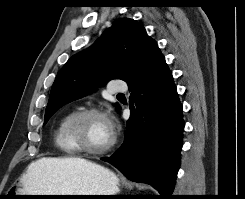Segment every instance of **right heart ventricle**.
Returning a JSON list of instances; mask_svg holds the SVG:
<instances>
[{"label":"right heart ventricle","mask_w":245,"mask_h":199,"mask_svg":"<svg viewBox=\"0 0 245 199\" xmlns=\"http://www.w3.org/2000/svg\"><path fill=\"white\" fill-rule=\"evenodd\" d=\"M74 111L65 114L54 131V142L56 147L66 156H74L78 151L74 148L71 139L67 133V127L70 119L74 115Z\"/></svg>","instance_id":"e07e8e85"}]
</instances>
